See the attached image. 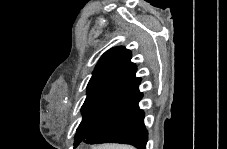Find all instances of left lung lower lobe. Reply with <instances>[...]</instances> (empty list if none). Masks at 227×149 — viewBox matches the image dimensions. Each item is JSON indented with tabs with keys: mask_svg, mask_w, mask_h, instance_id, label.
Masks as SVG:
<instances>
[{
	"mask_svg": "<svg viewBox=\"0 0 227 149\" xmlns=\"http://www.w3.org/2000/svg\"><path fill=\"white\" fill-rule=\"evenodd\" d=\"M141 78L132 83L113 108L99 121L82 143H124L146 149L148 132L144 125V112L138 103L143 94L139 91Z\"/></svg>",
	"mask_w": 227,
	"mask_h": 149,
	"instance_id": "1",
	"label": "left lung lower lobe"
}]
</instances>
